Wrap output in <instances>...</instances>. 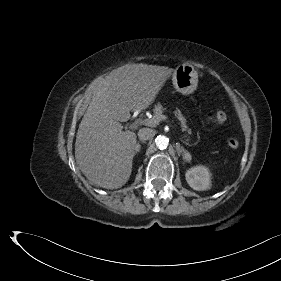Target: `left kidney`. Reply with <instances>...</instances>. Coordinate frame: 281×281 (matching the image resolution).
<instances>
[{
    "instance_id": "5707ae66",
    "label": "left kidney",
    "mask_w": 281,
    "mask_h": 281,
    "mask_svg": "<svg viewBox=\"0 0 281 281\" xmlns=\"http://www.w3.org/2000/svg\"><path fill=\"white\" fill-rule=\"evenodd\" d=\"M185 177L189 186L194 190L204 191L211 187V173L205 166L199 165L190 168Z\"/></svg>"
}]
</instances>
